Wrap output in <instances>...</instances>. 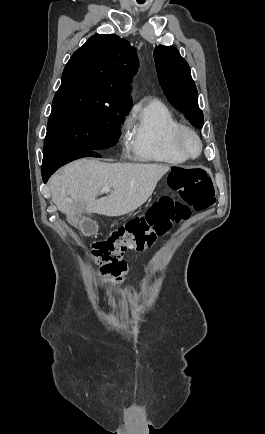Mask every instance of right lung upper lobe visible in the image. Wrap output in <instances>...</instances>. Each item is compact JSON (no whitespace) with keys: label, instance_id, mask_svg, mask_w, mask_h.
<instances>
[{"label":"right lung upper lobe","instance_id":"obj_1","mask_svg":"<svg viewBox=\"0 0 265 434\" xmlns=\"http://www.w3.org/2000/svg\"><path fill=\"white\" fill-rule=\"evenodd\" d=\"M138 68L134 47L115 34H96L66 64L61 85L86 83L131 102L130 83Z\"/></svg>","mask_w":265,"mask_h":434}]
</instances>
